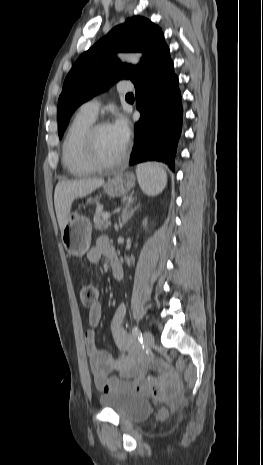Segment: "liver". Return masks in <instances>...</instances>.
Returning <instances> with one entry per match:
<instances>
[{"mask_svg":"<svg viewBox=\"0 0 263 465\" xmlns=\"http://www.w3.org/2000/svg\"><path fill=\"white\" fill-rule=\"evenodd\" d=\"M103 184L104 179L102 178L58 182L54 192V205L61 232L65 220L70 214L73 201L78 197L91 194Z\"/></svg>","mask_w":263,"mask_h":465,"instance_id":"6515ba94","label":"liver"}]
</instances>
